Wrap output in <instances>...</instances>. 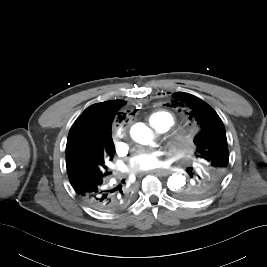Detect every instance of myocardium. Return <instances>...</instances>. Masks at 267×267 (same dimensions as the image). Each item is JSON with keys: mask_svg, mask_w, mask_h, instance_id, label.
Returning <instances> with one entry per match:
<instances>
[{"mask_svg": "<svg viewBox=\"0 0 267 267\" xmlns=\"http://www.w3.org/2000/svg\"><path fill=\"white\" fill-rule=\"evenodd\" d=\"M193 142V134L188 130H182L171 134L166 141L167 147L176 154L186 153Z\"/></svg>", "mask_w": 267, "mask_h": 267, "instance_id": "1", "label": "myocardium"}]
</instances>
